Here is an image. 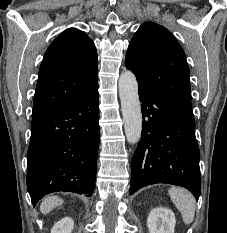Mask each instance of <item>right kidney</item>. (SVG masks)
<instances>
[{
  "instance_id": "1",
  "label": "right kidney",
  "mask_w": 227,
  "mask_h": 233,
  "mask_svg": "<svg viewBox=\"0 0 227 233\" xmlns=\"http://www.w3.org/2000/svg\"><path fill=\"white\" fill-rule=\"evenodd\" d=\"M74 221L70 217H64L54 224L51 233H72Z\"/></svg>"
}]
</instances>
